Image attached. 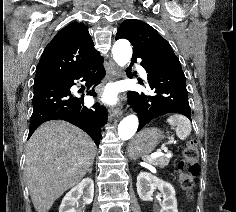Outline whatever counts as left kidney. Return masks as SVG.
Instances as JSON below:
<instances>
[{
    "label": "left kidney",
    "mask_w": 236,
    "mask_h": 212,
    "mask_svg": "<svg viewBox=\"0 0 236 212\" xmlns=\"http://www.w3.org/2000/svg\"><path fill=\"white\" fill-rule=\"evenodd\" d=\"M136 186L138 195L143 201L152 200L153 191L157 187L163 194L160 212H178L175 189L170 183L163 181L150 173L140 172L137 176Z\"/></svg>",
    "instance_id": "left-kidney-1"
}]
</instances>
